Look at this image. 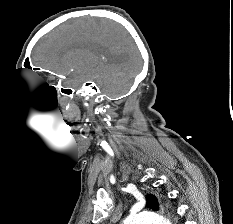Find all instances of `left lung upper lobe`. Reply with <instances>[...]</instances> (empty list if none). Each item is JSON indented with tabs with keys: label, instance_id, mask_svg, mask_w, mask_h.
Segmentation results:
<instances>
[{
	"label": "left lung upper lobe",
	"instance_id": "left-lung-upper-lobe-1",
	"mask_svg": "<svg viewBox=\"0 0 233 224\" xmlns=\"http://www.w3.org/2000/svg\"><path fill=\"white\" fill-rule=\"evenodd\" d=\"M146 201H147L146 207L154 211H157L159 209L158 201L154 195L148 194L146 196Z\"/></svg>",
	"mask_w": 233,
	"mask_h": 224
}]
</instances>
